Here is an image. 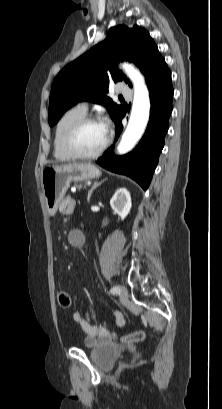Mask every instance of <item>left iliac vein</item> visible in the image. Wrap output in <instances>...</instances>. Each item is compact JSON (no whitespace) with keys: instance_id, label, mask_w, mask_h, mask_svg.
<instances>
[{"instance_id":"left-iliac-vein-1","label":"left iliac vein","mask_w":222,"mask_h":409,"mask_svg":"<svg viewBox=\"0 0 222 409\" xmlns=\"http://www.w3.org/2000/svg\"><path fill=\"white\" fill-rule=\"evenodd\" d=\"M120 298L126 300L128 298V290L125 286H120Z\"/></svg>"}]
</instances>
